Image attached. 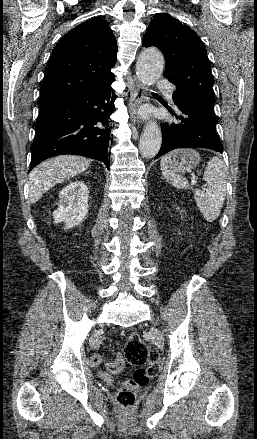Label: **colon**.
Masks as SVG:
<instances>
[{
	"instance_id": "obj_1",
	"label": "colon",
	"mask_w": 257,
	"mask_h": 439,
	"mask_svg": "<svg viewBox=\"0 0 257 439\" xmlns=\"http://www.w3.org/2000/svg\"><path fill=\"white\" fill-rule=\"evenodd\" d=\"M159 361L158 353L145 344L138 334L131 333L127 337L122 352L109 366L114 373L122 372L127 364L137 367L133 377L117 391L116 400L121 407L127 409L135 404V392L148 385L150 380L157 376ZM91 363L99 365L101 357L93 356Z\"/></svg>"
}]
</instances>
